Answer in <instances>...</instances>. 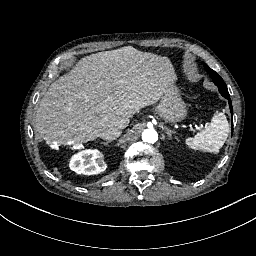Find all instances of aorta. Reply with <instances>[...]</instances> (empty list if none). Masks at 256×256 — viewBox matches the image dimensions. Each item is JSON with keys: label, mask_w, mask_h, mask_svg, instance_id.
I'll use <instances>...</instances> for the list:
<instances>
[{"label": "aorta", "mask_w": 256, "mask_h": 256, "mask_svg": "<svg viewBox=\"0 0 256 256\" xmlns=\"http://www.w3.org/2000/svg\"><path fill=\"white\" fill-rule=\"evenodd\" d=\"M146 133L144 136L143 134ZM144 136V138H143ZM142 140L147 143H155L158 140V133L155 129L149 128L142 132Z\"/></svg>", "instance_id": "762f6f07"}]
</instances>
